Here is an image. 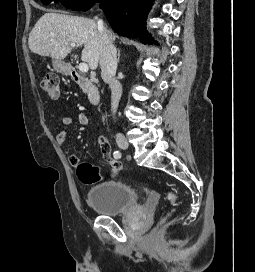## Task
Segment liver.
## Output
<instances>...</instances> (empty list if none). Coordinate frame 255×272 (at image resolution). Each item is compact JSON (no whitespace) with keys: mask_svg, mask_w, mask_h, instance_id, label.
<instances>
[{"mask_svg":"<svg viewBox=\"0 0 255 272\" xmlns=\"http://www.w3.org/2000/svg\"><path fill=\"white\" fill-rule=\"evenodd\" d=\"M108 31L111 42L116 35ZM71 43L76 47L84 45L82 60L90 69L98 67L100 59V37L94 20L60 13H45L29 34V49L41 56H50L53 60H63L71 52Z\"/></svg>","mask_w":255,"mask_h":272,"instance_id":"1","label":"liver"}]
</instances>
